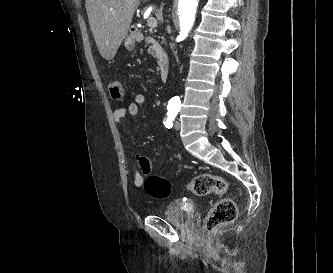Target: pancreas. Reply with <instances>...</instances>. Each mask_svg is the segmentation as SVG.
Masks as SVG:
<instances>
[{
  "mask_svg": "<svg viewBox=\"0 0 333 273\" xmlns=\"http://www.w3.org/2000/svg\"><path fill=\"white\" fill-rule=\"evenodd\" d=\"M157 48H158V46H157L156 44L150 46L149 49H148L149 54L154 55L155 50H156Z\"/></svg>",
  "mask_w": 333,
  "mask_h": 273,
  "instance_id": "obj_1",
  "label": "pancreas"
}]
</instances>
